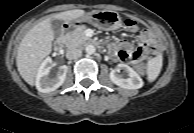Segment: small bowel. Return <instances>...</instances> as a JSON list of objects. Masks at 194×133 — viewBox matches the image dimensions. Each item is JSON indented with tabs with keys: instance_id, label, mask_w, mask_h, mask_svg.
Instances as JSON below:
<instances>
[{
	"instance_id": "small-bowel-1",
	"label": "small bowel",
	"mask_w": 194,
	"mask_h": 133,
	"mask_svg": "<svg viewBox=\"0 0 194 133\" xmlns=\"http://www.w3.org/2000/svg\"><path fill=\"white\" fill-rule=\"evenodd\" d=\"M156 45L157 40L153 33L148 29H144L139 34L137 45L127 41H118L112 43L109 48L116 60L137 63L156 54Z\"/></svg>"
}]
</instances>
